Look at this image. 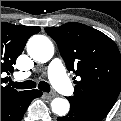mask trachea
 <instances>
[{
    "mask_svg": "<svg viewBox=\"0 0 121 121\" xmlns=\"http://www.w3.org/2000/svg\"><path fill=\"white\" fill-rule=\"evenodd\" d=\"M10 85L17 88V89H32L36 87V83L34 81L31 80H27L25 82H13L10 81ZM38 88L44 92H50V85L45 82V81H41L38 84Z\"/></svg>",
    "mask_w": 121,
    "mask_h": 121,
    "instance_id": "obj_1",
    "label": "trachea"
}]
</instances>
